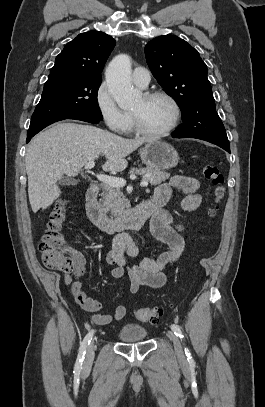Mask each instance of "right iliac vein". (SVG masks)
<instances>
[{
    "label": "right iliac vein",
    "mask_w": 265,
    "mask_h": 407,
    "mask_svg": "<svg viewBox=\"0 0 265 407\" xmlns=\"http://www.w3.org/2000/svg\"><path fill=\"white\" fill-rule=\"evenodd\" d=\"M94 351H95V346L92 343V344L89 345V347L87 348V351H86L85 365H89L93 361V359H94Z\"/></svg>",
    "instance_id": "63e3f726"
}]
</instances>
